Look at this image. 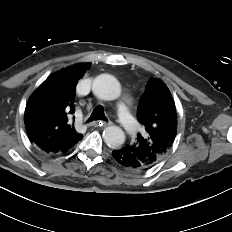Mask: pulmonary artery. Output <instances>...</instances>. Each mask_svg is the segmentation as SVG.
<instances>
[{"label":"pulmonary artery","instance_id":"e3ab8cb5","mask_svg":"<svg viewBox=\"0 0 232 232\" xmlns=\"http://www.w3.org/2000/svg\"><path fill=\"white\" fill-rule=\"evenodd\" d=\"M117 115L129 133H134L137 130V122L132 117L127 107L124 104H119L116 109Z\"/></svg>","mask_w":232,"mask_h":232}]
</instances>
